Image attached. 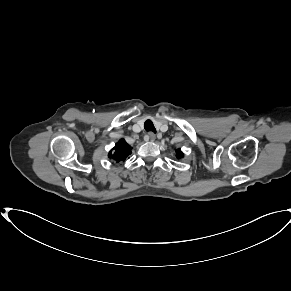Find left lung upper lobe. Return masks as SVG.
<instances>
[{"label": "left lung upper lobe", "mask_w": 291, "mask_h": 291, "mask_svg": "<svg viewBox=\"0 0 291 291\" xmlns=\"http://www.w3.org/2000/svg\"><path fill=\"white\" fill-rule=\"evenodd\" d=\"M176 153H177V154H176V157H177V158H181V157H183V153L180 151V149H177V150H176Z\"/></svg>", "instance_id": "5c2ea615"}]
</instances>
